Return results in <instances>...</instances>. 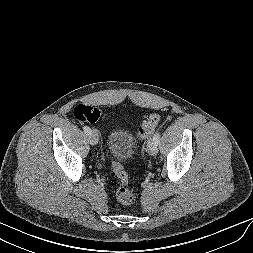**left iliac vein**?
I'll return each instance as SVG.
<instances>
[{"label": "left iliac vein", "instance_id": "1", "mask_svg": "<svg viewBox=\"0 0 253 253\" xmlns=\"http://www.w3.org/2000/svg\"><path fill=\"white\" fill-rule=\"evenodd\" d=\"M147 151L151 156H155L158 153V143L155 140H150L147 145Z\"/></svg>", "mask_w": 253, "mask_h": 253}]
</instances>
